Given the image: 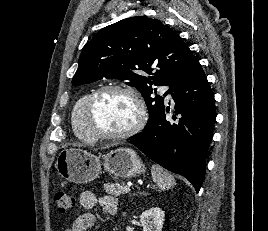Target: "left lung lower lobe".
I'll use <instances>...</instances> for the list:
<instances>
[{"label":"left lung lower lobe","instance_id":"obj_1","mask_svg":"<svg viewBox=\"0 0 268 231\" xmlns=\"http://www.w3.org/2000/svg\"><path fill=\"white\" fill-rule=\"evenodd\" d=\"M169 92L178 118L174 115V121H167L164 107L151 126L129 139L154 162L188 179L199 192L216 111L214 94L198 60L173 82Z\"/></svg>","mask_w":268,"mask_h":231}]
</instances>
